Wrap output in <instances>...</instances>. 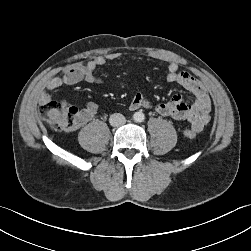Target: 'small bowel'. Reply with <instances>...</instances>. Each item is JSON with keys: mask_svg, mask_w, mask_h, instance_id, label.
Returning <instances> with one entry per match:
<instances>
[{"mask_svg": "<svg viewBox=\"0 0 251 251\" xmlns=\"http://www.w3.org/2000/svg\"><path fill=\"white\" fill-rule=\"evenodd\" d=\"M119 53H109L105 56H97L87 63H79L66 69L61 75L55 76L44 83L46 92L38 97L40 103L51 101L48 92L56 90L62 86H71L81 81L90 84L102 83V78L96 73V70L105 65L108 61L117 60ZM166 79L168 82L177 83L194 96L193 103L184 101L182 95L177 94L169 101L153 105L152 102L137 92L130 104V110L139 108L154 109V111L164 117H169L176 121H188L194 131L200 132L210 121L211 117V99L204 85L186 71L179 70L175 62L167 65ZM98 105L89 102L85 108L78 114V126L89 122L97 113Z\"/></svg>", "mask_w": 251, "mask_h": 251, "instance_id": "1", "label": "small bowel"}]
</instances>
